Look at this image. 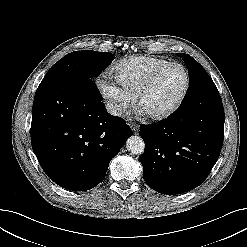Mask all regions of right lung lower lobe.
<instances>
[{
	"label": "right lung lower lobe",
	"instance_id": "obj_1",
	"mask_svg": "<svg viewBox=\"0 0 247 247\" xmlns=\"http://www.w3.org/2000/svg\"><path fill=\"white\" fill-rule=\"evenodd\" d=\"M130 136L125 121L107 112L92 79L65 75L37 88L31 144L42 169L59 186L85 191L98 185Z\"/></svg>",
	"mask_w": 247,
	"mask_h": 247
}]
</instances>
